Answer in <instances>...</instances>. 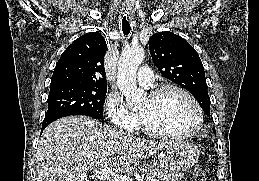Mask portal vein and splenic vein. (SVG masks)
<instances>
[{"instance_id":"1","label":"portal vein and splenic vein","mask_w":259,"mask_h":181,"mask_svg":"<svg viewBox=\"0 0 259 181\" xmlns=\"http://www.w3.org/2000/svg\"><path fill=\"white\" fill-rule=\"evenodd\" d=\"M93 173L100 175L101 178H107L111 181H132V179L129 176H126V175L117 176L114 172H112L107 167L95 169L93 170ZM146 181H157V180L153 177H147Z\"/></svg>"}]
</instances>
